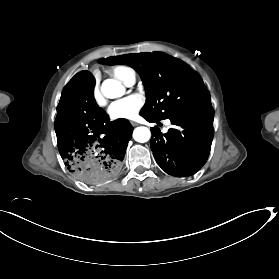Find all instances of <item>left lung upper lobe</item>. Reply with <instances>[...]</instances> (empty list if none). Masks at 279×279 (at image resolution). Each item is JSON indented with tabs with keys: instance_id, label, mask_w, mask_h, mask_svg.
<instances>
[{
	"instance_id": "left-lung-upper-lobe-1",
	"label": "left lung upper lobe",
	"mask_w": 279,
	"mask_h": 279,
	"mask_svg": "<svg viewBox=\"0 0 279 279\" xmlns=\"http://www.w3.org/2000/svg\"><path fill=\"white\" fill-rule=\"evenodd\" d=\"M98 62L126 64L139 73L146 91V103L140 114L154 121L212 106L201 77L186 63L165 53L126 54L102 58Z\"/></svg>"
}]
</instances>
